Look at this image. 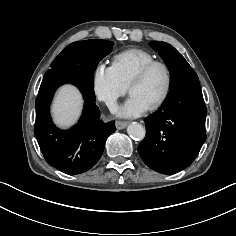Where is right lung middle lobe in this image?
Returning <instances> with one entry per match:
<instances>
[{
	"label": "right lung middle lobe",
	"instance_id": "obj_1",
	"mask_svg": "<svg viewBox=\"0 0 236 236\" xmlns=\"http://www.w3.org/2000/svg\"><path fill=\"white\" fill-rule=\"evenodd\" d=\"M113 42L107 40L78 41L66 47L51 63V68L60 70H82L90 75L99 61L112 51Z\"/></svg>",
	"mask_w": 236,
	"mask_h": 236
}]
</instances>
